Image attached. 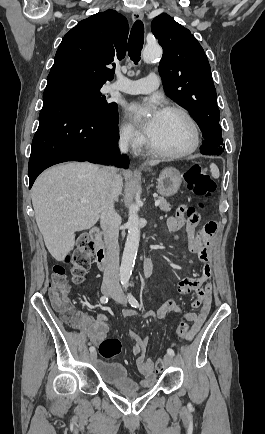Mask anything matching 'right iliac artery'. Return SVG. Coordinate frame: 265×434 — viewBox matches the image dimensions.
<instances>
[{"label": "right iliac artery", "instance_id": "obj_1", "mask_svg": "<svg viewBox=\"0 0 265 434\" xmlns=\"http://www.w3.org/2000/svg\"><path fill=\"white\" fill-rule=\"evenodd\" d=\"M100 302H101L102 304L107 303V302H108V297H107V296H102V297L100 298ZM89 350H90V352H94V351H95V348H94L93 346H91V347L89 348Z\"/></svg>", "mask_w": 265, "mask_h": 434}]
</instances>
